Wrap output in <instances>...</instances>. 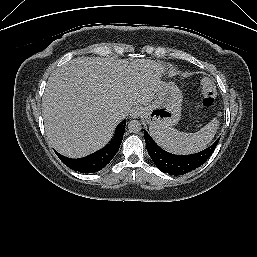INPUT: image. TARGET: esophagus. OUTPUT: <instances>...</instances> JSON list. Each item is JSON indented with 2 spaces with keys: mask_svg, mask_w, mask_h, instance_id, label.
Segmentation results:
<instances>
[{
  "mask_svg": "<svg viewBox=\"0 0 257 257\" xmlns=\"http://www.w3.org/2000/svg\"><path fill=\"white\" fill-rule=\"evenodd\" d=\"M142 114V109L140 107H134L131 110V117L132 118H138Z\"/></svg>",
  "mask_w": 257,
  "mask_h": 257,
  "instance_id": "esophagus-1",
  "label": "esophagus"
}]
</instances>
